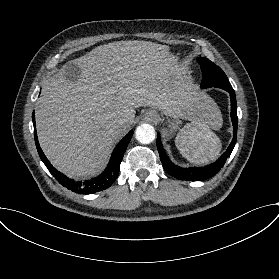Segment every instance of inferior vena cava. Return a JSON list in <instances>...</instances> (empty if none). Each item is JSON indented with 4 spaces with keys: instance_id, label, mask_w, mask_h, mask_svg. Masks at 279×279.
I'll use <instances>...</instances> for the list:
<instances>
[{
    "instance_id": "inferior-vena-cava-1",
    "label": "inferior vena cava",
    "mask_w": 279,
    "mask_h": 279,
    "mask_svg": "<svg viewBox=\"0 0 279 279\" xmlns=\"http://www.w3.org/2000/svg\"><path fill=\"white\" fill-rule=\"evenodd\" d=\"M117 122H118V124L124 125V124L127 123V120H124V119H122V118H119Z\"/></svg>"
}]
</instances>
